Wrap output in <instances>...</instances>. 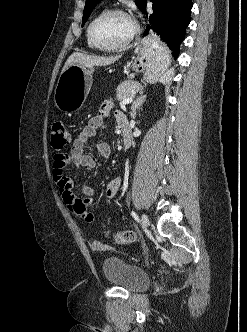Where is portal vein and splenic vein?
I'll return each mask as SVG.
<instances>
[{
	"label": "portal vein and splenic vein",
	"mask_w": 247,
	"mask_h": 332,
	"mask_svg": "<svg viewBox=\"0 0 247 332\" xmlns=\"http://www.w3.org/2000/svg\"><path fill=\"white\" fill-rule=\"evenodd\" d=\"M134 97H128L126 99H123L121 102H120V106L121 107H124L125 105L127 104H130L132 101H133Z\"/></svg>",
	"instance_id": "portal-vein-and-splenic-vein-1"
}]
</instances>
